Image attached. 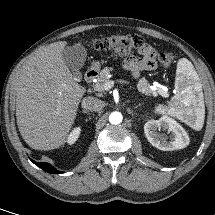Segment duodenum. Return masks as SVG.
Segmentation results:
<instances>
[{
	"mask_svg": "<svg viewBox=\"0 0 215 215\" xmlns=\"http://www.w3.org/2000/svg\"><path fill=\"white\" fill-rule=\"evenodd\" d=\"M97 74L95 69H89L84 75L85 83L89 85L97 77Z\"/></svg>",
	"mask_w": 215,
	"mask_h": 215,
	"instance_id": "duodenum-1",
	"label": "duodenum"
}]
</instances>
